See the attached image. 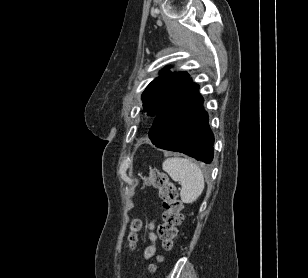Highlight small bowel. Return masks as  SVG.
<instances>
[{"label":"small bowel","instance_id":"1","mask_svg":"<svg viewBox=\"0 0 308 278\" xmlns=\"http://www.w3.org/2000/svg\"><path fill=\"white\" fill-rule=\"evenodd\" d=\"M154 222L150 223L149 225V229L151 230L150 234H149V238L152 242V244L150 246H148L146 249H145V257H150L154 254L155 252V245H154V242L156 240V235L154 234V232L152 231L154 229Z\"/></svg>","mask_w":308,"mask_h":278}]
</instances>
